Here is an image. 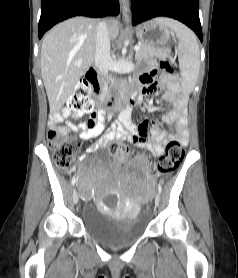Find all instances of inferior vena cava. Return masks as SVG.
Returning a JSON list of instances; mask_svg holds the SVG:
<instances>
[{
    "label": "inferior vena cava",
    "mask_w": 238,
    "mask_h": 278,
    "mask_svg": "<svg viewBox=\"0 0 238 278\" xmlns=\"http://www.w3.org/2000/svg\"><path fill=\"white\" fill-rule=\"evenodd\" d=\"M111 62L110 57V36L108 26L105 21L99 23L96 36V50L94 63L98 71L105 78L109 71ZM108 94L107 83L104 82L102 87V95L105 97Z\"/></svg>",
    "instance_id": "1"
}]
</instances>
